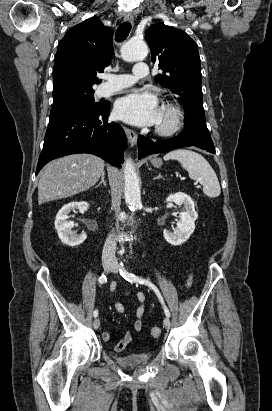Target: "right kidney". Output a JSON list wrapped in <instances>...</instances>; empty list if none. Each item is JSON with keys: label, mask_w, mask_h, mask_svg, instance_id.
Here are the masks:
<instances>
[{"label": "right kidney", "mask_w": 272, "mask_h": 411, "mask_svg": "<svg viewBox=\"0 0 272 411\" xmlns=\"http://www.w3.org/2000/svg\"><path fill=\"white\" fill-rule=\"evenodd\" d=\"M89 208V204L85 201L81 202H70L64 205L57 213L55 219V229L57 230L58 236L63 244L74 247L78 246L85 241L87 235L82 233L78 235L76 232L72 231L74 223L68 220V214L71 210L78 209L80 212H85Z\"/></svg>", "instance_id": "1"}]
</instances>
